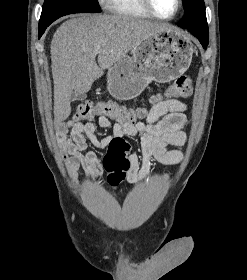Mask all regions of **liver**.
<instances>
[{
  "mask_svg": "<svg viewBox=\"0 0 247 280\" xmlns=\"http://www.w3.org/2000/svg\"><path fill=\"white\" fill-rule=\"evenodd\" d=\"M171 28L130 16L87 14L60 25L51 41L55 123L69 117L73 94L85 95L105 69L147 37Z\"/></svg>",
  "mask_w": 247,
  "mask_h": 280,
  "instance_id": "1",
  "label": "liver"
}]
</instances>
